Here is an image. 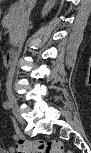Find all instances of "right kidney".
I'll list each match as a JSON object with an SVG mask.
<instances>
[{"instance_id": "obj_1", "label": "right kidney", "mask_w": 91, "mask_h": 153, "mask_svg": "<svg viewBox=\"0 0 91 153\" xmlns=\"http://www.w3.org/2000/svg\"><path fill=\"white\" fill-rule=\"evenodd\" d=\"M51 7H52V4H50L48 2L45 4L44 8L42 9V17H45L48 14Z\"/></svg>"}]
</instances>
